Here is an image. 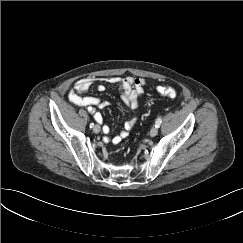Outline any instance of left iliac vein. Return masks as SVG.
<instances>
[{
    "mask_svg": "<svg viewBox=\"0 0 243 243\" xmlns=\"http://www.w3.org/2000/svg\"><path fill=\"white\" fill-rule=\"evenodd\" d=\"M158 134V128L157 127H153L151 130H150V136L151 137H154Z\"/></svg>",
    "mask_w": 243,
    "mask_h": 243,
    "instance_id": "obj_1",
    "label": "left iliac vein"
}]
</instances>
